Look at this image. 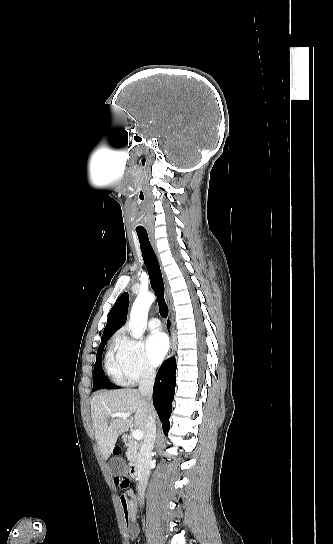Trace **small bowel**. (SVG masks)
Masks as SVG:
<instances>
[{
	"label": "small bowel",
	"mask_w": 333,
	"mask_h": 544,
	"mask_svg": "<svg viewBox=\"0 0 333 544\" xmlns=\"http://www.w3.org/2000/svg\"><path fill=\"white\" fill-rule=\"evenodd\" d=\"M120 504L126 520V530L131 539H134L139 532L136 521L137 503L132 491H128L120 497Z\"/></svg>",
	"instance_id": "1"
}]
</instances>
